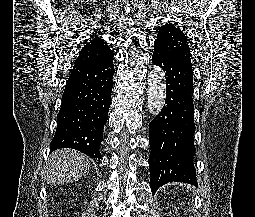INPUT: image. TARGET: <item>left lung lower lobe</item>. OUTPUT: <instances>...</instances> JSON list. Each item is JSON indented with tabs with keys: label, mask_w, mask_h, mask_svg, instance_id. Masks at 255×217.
I'll return each instance as SVG.
<instances>
[{
	"label": "left lung lower lobe",
	"mask_w": 255,
	"mask_h": 217,
	"mask_svg": "<svg viewBox=\"0 0 255 217\" xmlns=\"http://www.w3.org/2000/svg\"><path fill=\"white\" fill-rule=\"evenodd\" d=\"M154 65L166 76V99L161 112L149 123L150 187L152 193L173 181L197 184L193 156L194 105L192 65L161 48H154Z\"/></svg>",
	"instance_id": "left-lung-lower-lobe-1"
}]
</instances>
